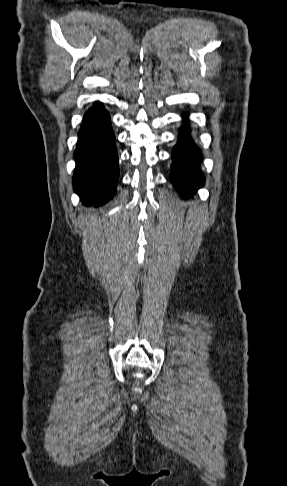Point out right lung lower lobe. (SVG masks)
Here are the masks:
<instances>
[{"label": "right lung lower lobe", "instance_id": "right-lung-lower-lobe-1", "mask_svg": "<svg viewBox=\"0 0 287 486\" xmlns=\"http://www.w3.org/2000/svg\"><path fill=\"white\" fill-rule=\"evenodd\" d=\"M78 136L74 190L84 204L102 205L116 192L119 167L110 117L101 103L85 113Z\"/></svg>", "mask_w": 287, "mask_h": 486}]
</instances>
